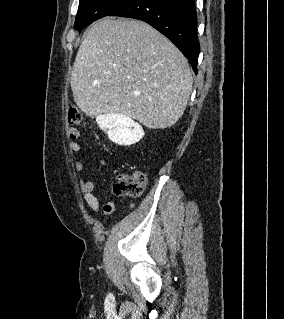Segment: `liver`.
I'll use <instances>...</instances> for the list:
<instances>
[{
  "mask_svg": "<svg viewBox=\"0 0 284 319\" xmlns=\"http://www.w3.org/2000/svg\"><path fill=\"white\" fill-rule=\"evenodd\" d=\"M192 83L187 59L161 33L112 17L90 28L71 74L74 101L86 115L123 114L153 129L179 120Z\"/></svg>",
  "mask_w": 284,
  "mask_h": 319,
  "instance_id": "obj_1",
  "label": "liver"
}]
</instances>
